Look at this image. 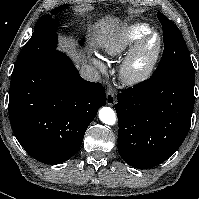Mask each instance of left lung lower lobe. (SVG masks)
I'll list each match as a JSON object with an SVG mask.
<instances>
[{
    "mask_svg": "<svg viewBox=\"0 0 199 199\" xmlns=\"http://www.w3.org/2000/svg\"><path fill=\"white\" fill-rule=\"evenodd\" d=\"M194 82L195 75L169 73L118 94V151L127 164L151 168L181 146L190 129Z\"/></svg>",
    "mask_w": 199,
    "mask_h": 199,
    "instance_id": "0a47b994",
    "label": "left lung lower lobe"
}]
</instances>
